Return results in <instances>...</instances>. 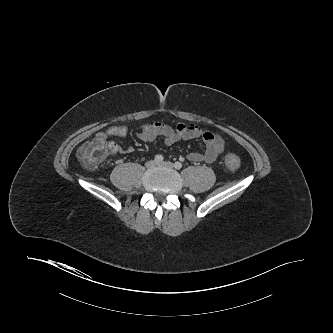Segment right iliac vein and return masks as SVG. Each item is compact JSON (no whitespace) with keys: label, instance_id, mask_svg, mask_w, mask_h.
Here are the masks:
<instances>
[{"label":"right iliac vein","instance_id":"obj_1","mask_svg":"<svg viewBox=\"0 0 333 333\" xmlns=\"http://www.w3.org/2000/svg\"><path fill=\"white\" fill-rule=\"evenodd\" d=\"M157 165V163L154 160H150L146 163V167L151 169L154 168Z\"/></svg>","mask_w":333,"mask_h":333}]
</instances>
